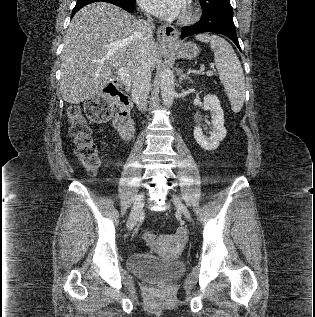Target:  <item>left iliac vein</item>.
Listing matches in <instances>:
<instances>
[{
  "instance_id": "4c4485c4",
  "label": "left iliac vein",
  "mask_w": 315,
  "mask_h": 317,
  "mask_svg": "<svg viewBox=\"0 0 315 317\" xmlns=\"http://www.w3.org/2000/svg\"><path fill=\"white\" fill-rule=\"evenodd\" d=\"M173 203L175 204L178 211H180L186 219L191 220L190 212L178 196H173Z\"/></svg>"
}]
</instances>
